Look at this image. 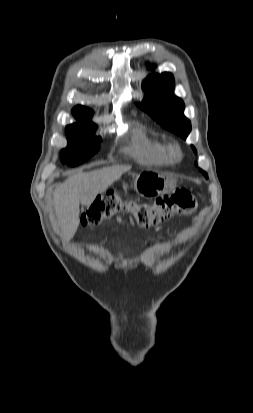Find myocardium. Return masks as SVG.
I'll return each instance as SVG.
<instances>
[{"label":"myocardium","instance_id":"obj_1","mask_svg":"<svg viewBox=\"0 0 253 413\" xmlns=\"http://www.w3.org/2000/svg\"><path fill=\"white\" fill-rule=\"evenodd\" d=\"M172 152H173V154L176 158H179L181 156V152H180L178 146H176V145L172 146Z\"/></svg>","mask_w":253,"mask_h":413}]
</instances>
